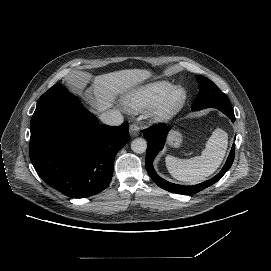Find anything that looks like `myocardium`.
I'll use <instances>...</instances> for the list:
<instances>
[{
	"mask_svg": "<svg viewBox=\"0 0 271 271\" xmlns=\"http://www.w3.org/2000/svg\"><path fill=\"white\" fill-rule=\"evenodd\" d=\"M189 97V91L184 85L173 87L166 99L159 105L155 114L156 122H165L179 112L186 104Z\"/></svg>",
	"mask_w": 271,
	"mask_h": 271,
	"instance_id": "f54148a6",
	"label": "myocardium"
}]
</instances>
